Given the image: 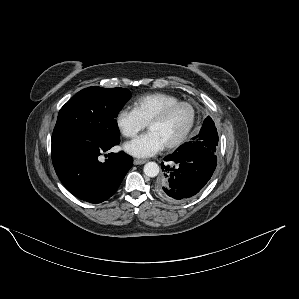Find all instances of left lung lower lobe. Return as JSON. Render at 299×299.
Here are the masks:
<instances>
[{
    "instance_id": "1",
    "label": "left lung lower lobe",
    "mask_w": 299,
    "mask_h": 299,
    "mask_svg": "<svg viewBox=\"0 0 299 299\" xmlns=\"http://www.w3.org/2000/svg\"><path fill=\"white\" fill-rule=\"evenodd\" d=\"M193 139L164 158L173 165L161 163L164 177L156 185L157 194L165 200L181 201L197 194L209 181L217 165L210 138Z\"/></svg>"
}]
</instances>
